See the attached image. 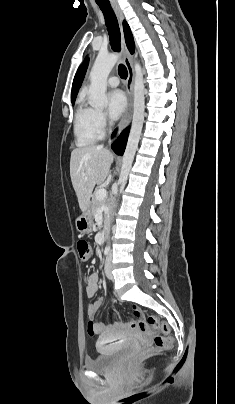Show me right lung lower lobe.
<instances>
[{"label":"right lung lower lobe","mask_w":235,"mask_h":404,"mask_svg":"<svg viewBox=\"0 0 235 404\" xmlns=\"http://www.w3.org/2000/svg\"><path fill=\"white\" fill-rule=\"evenodd\" d=\"M128 128L125 129L120 136L118 137V139L115 141V143L112 145V149L113 151L118 154V155H123L125 147H126V142H127V137H128ZM115 134V132L113 133V135Z\"/></svg>","instance_id":"98d812e1"}]
</instances>
